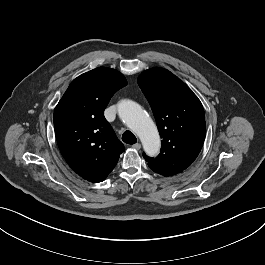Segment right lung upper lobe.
Segmentation results:
<instances>
[{
	"label": "right lung upper lobe",
	"instance_id": "1",
	"mask_svg": "<svg viewBox=\"0 0 265 265\" xmlns=\"http://www.w3.org/2000/svg\"><path fill=\"white\" fill-rule=\"evenodd\" d=\"M127 85L115 69L98 67L69 85L54 111V129L62 156L83 179L105 180L125 150L104 117V110Z\"/></svg>",
	"mask_w": 265,
	"mask_h": 265
}]
</instances>
